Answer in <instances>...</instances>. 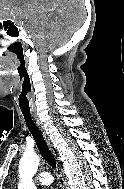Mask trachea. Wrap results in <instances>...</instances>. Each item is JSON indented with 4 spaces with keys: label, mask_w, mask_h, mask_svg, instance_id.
<instances>
[{
    "label": "trachea",
    "mask_w": 124,
    "mask_h": 189,
    "mask_svg": "<svg viewBox=\"0 0 124 189\" xmlns=\"http://www.w3.org/2000/svg\"><path fill=\"white\" fill-rule=\"evenodd\" d=\"M26 125L31 132L36 145L42 155V157L46 160V162L52 167L56 168V160L49 147L47 146L42 132L38 128L37 124L34 122L30 112H22Z\"/></svg>",
    "instance_id": "1"
}]
</instances>
